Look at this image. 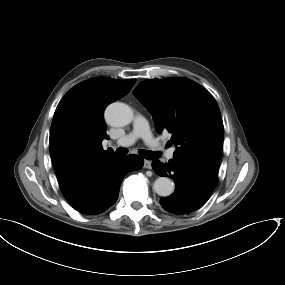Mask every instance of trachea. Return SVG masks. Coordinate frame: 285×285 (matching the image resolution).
<instances>
[{
	"mask_svg": "<svg viewBox=\"0 0 285 285\" xmlns=\"http://www.w3.org/2000/svg\"><path fill=\"white\" fill-rule=\"evenodd\" d=\"M127 153H128V150L126 148H123V147H119L116 150V154L119 157L125 156ZM140 155L143 156L147 160H151V159L156 158L159 155V153L153 152V151H148V150H141Z\"/></svg>",
	"mask_w": 285,
	"mask_h": 285,
	"instance_id": "3493384b",
	"label": "trachea"
}]
</instances>
